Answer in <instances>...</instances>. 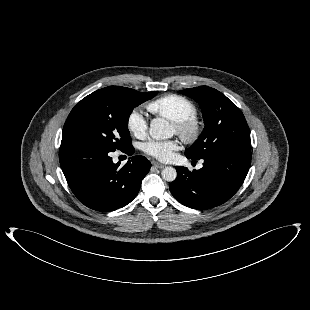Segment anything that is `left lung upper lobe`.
<instances>
[{"label": "left lung upper lobe", "instance_id": "obj_1", "mask_svg": "<svg viewBox=\"0 0 310 310\" xmlns=\"http://www.w3.org/2000/svg\"><path fill=\"white\" fill-rule=\"evenodd\" d=\"M197 101L205 128L185 151L192 159H204L221 152H250V131L241 110L224 94L208 86L179 91Z\"/></svg>", "mask_w": 310, "mask_h": 310}]
</instances>
